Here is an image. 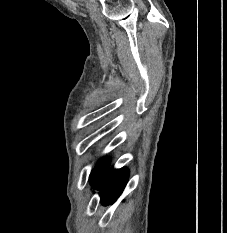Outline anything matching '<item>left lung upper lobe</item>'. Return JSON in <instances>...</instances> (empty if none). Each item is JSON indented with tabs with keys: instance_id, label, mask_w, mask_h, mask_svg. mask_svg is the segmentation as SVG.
<instances>
[{
	"instance_id": "left-lung-upper-lobe-1",
	"label": "left lung upper lobe",
	"mask_w": 227,
	"mask_h": 233,
	"mask_svg": "<svg viewBox=\"0 0 227 233\" xmlns=\"http://www.w3.org/2000/svg\"><path fill=\"white\" fill-rule=\"evenodd\" d=\"M110 165V159L104 158L102 161L98 163V165L95 167V169L90 174V184L94 189H98L102 178L107 171L108 167Z\"/></svg>"
}]
</instances>
